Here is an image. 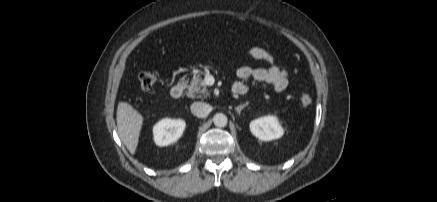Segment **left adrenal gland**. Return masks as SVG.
<instances>
[{"label":"left adrenal gland","mask_w":437,"mask_h":202,"mask_svg":"<svg viewBox=\"0 0 437 202\" xmlns=\"http://www.w3.org/2000/svg\"><path fill=\"white\" fill-rule=\"evenodd\" d=\"M248 105V103L239 105L235 108V111L240 115L241 111Z\"/></svg>","instance_id":"left-adrenal-gland-1"}]
</instances>
